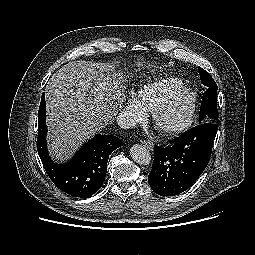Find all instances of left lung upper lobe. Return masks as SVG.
I'll list each match as a JSON object with an SVG mask.
<instances>
[{
    "mask_svg": "<svg viewBox=\"0 0 255 255\" xmlns=\"http://www.w3.org/2000/svg\"><path fill=\"white\" fill-rule=\"evenodd\" d=\"M201 82L207 86L201 102L199 123L214 122L218 120L217 109V85L211 75L204 69L198 67Z\"/></svg>",
    "mask_w": 255,
    "mask_h": 255,
    "instance_id": "5c2ea615",
    "label": "left lung upper lobe"
}]
</instances>
